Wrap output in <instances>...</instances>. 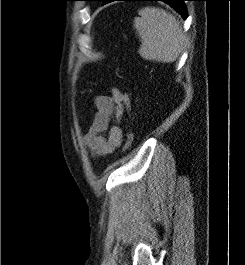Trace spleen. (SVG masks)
<instances>
[{
	"mask_svg": "<svg viewBox=\"0 0 245 265\" xmlns=\"http://www.w3.org/2000/svg\"><path fill=\"white\" fill-rule=\"evenodd\" d=\"M138 14L133 25L141 40V57L162 63L176 61L185 42L178 20L156 7L142 8Z\"/></svg>",
	"mask_w": 245,
	"mask_h": 265,
	"instance_id": "1",
	"label": "spleen"
}]
</instances>
